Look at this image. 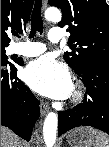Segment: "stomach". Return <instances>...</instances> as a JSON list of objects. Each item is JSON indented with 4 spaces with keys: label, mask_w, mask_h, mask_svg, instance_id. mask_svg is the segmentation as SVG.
Segmentation results:
<instances>
[{
    "label": "stomach",
    "mask_w": 109,
    "mask_h": 147,
    "mask_svg": "<svg viewBox=\"0 0 109 147\" xmlns=\"http://www.w3.org/2000/svg\"><path fill=\"white\" fill-rule=\"evenodd\" d=\"M97 130L90 127H79L70 130L66 139L70 147H94Z\"/></svg>",
    "instance_id": "stomach-1"
}]
</instances>
